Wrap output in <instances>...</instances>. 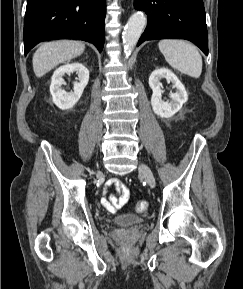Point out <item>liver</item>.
Segmentation results:
<instances>
[{"mask_svg":"<svg viewBox=\"0 0 243 289\" xmlns=\"http://www.w3.org/2000/svg\"><path fill=\"white\" fill-rule=\"evenodd\" d=\"M84 50L85 45L80 41L58 40L45 42L33 55V71L36 77H42L60 63L80 56Z\"/></svg>","mask_w":243,"mask_h":289,"instance_id":"obj_1","label":"liver"}]
</instances>
